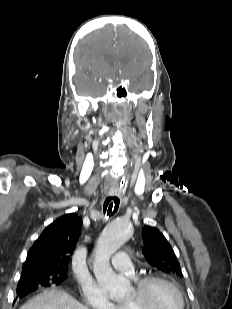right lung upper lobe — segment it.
Wrapping results in <instances>:
<instances>
[{
	"mask_svg": "<svg viewBox=\"0 0 232 309\" xmlns=\"http://www.w3.org/2000/svg\"><path fill=\"white\" fill-rule=\"evenodd\" d=\"M81 227L82 220L75 213L66 214L51 223L30 248L22 272L54 270L67 273Z\"/></svg>",
	"mask_w": 232,
	"mask_h": 309,
	"instance_id": "cb5924a9",
	"label": "right lung upper lobe"
}]
</instances>
